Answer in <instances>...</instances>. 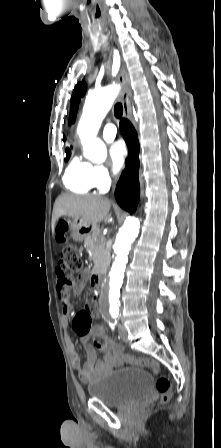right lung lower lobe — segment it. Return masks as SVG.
Wrapping results in <instances>:
<instances>
[{"mask_svg": "<svg viewBox=\"0 0 221 448\" xmlns=\"http://www.w3.org/2000/svg\"><path fill=\"white\" fill-rule=\"evenodd\" d=\"M120 128L129 148V158L117 184L115 197L118 204L132 214L136 209L140 196L138 177L139 142L137 133L128 120L122 119Z\"/></svg>", "mask_w": 221, "mask_h": 448, "instance_id": "right-lung-lower-lobe-1", "label": "right lung lower lobe"}]
</instances>
